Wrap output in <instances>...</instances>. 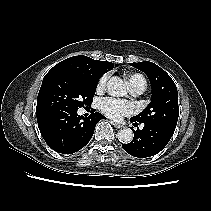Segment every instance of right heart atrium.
Returning a JSON list of instances; mask_svg holds the SVG:
<instances>
[{"label":"right heart atrium","mask_w":211,"mask_h":211,"mask_svg":"<svg viewBox=\"0 0 211 211\" xmlns=\"http://www.w3.org/2000/svg\"><path fill=\"white\" fill-rule=\"evenodd\" d=\"M107 81H108V75H103L98 81L97 90H103L106 86Z\"/></svg>","instance_id":"1"}]
</instances>
